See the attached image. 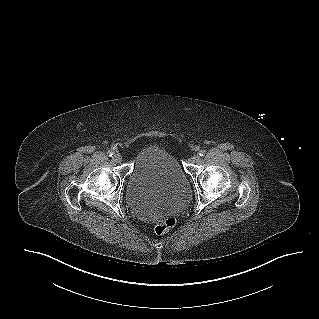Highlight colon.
<instances>
[{
  "label": "colon",
  "instance_id": "5ec220e1",
  "mask_svg": "<svg viewBox=\"0 0 319 319\" xmlns=\"http://www.w3.org/2000/svg\"><path fill=\"white\" fill-rule=\"evenodd\" d=\"M175 224H176L175 217L169 216L155 226L154 232L158 235L165 234L170 229H172L175 226Z\"/></svg>",
  "mask_w": 319,
  "mask_h": 319
}]
</instances>
